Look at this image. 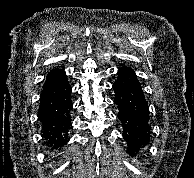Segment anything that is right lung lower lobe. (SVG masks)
Returning a JSON list of instances; mask_svg holds the SVG:
<instances>
[{
  "label": "right lung lower lobe",
  "instance_id": "right-lung-lower-lobe-1",
  "mask_svg": "<svg viewBox=\"0 0 194 178\" xmlns=\"http://www.w3.org/2000/svg\"><path fill=\"white\" fill-rule=\"evenodd\" d=\"M71 86L62 70L47 77L40 95L38 119L42 124V134L52 149H58L68 142L71 125Z\"/></svg>",
  "mask_w": 194,
  "mask_h": 178
}]
</instances>
